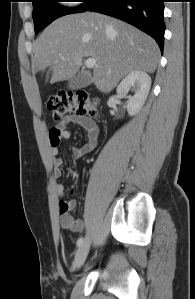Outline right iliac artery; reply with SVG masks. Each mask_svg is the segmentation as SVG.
Wrapping results in <instances>:
<instances>
[{
  "mask_svg": "<svg viewBox=\"0 0 195 299\" xmlns=\"http://www.w3.org/2000/svg\"><path fill=\"white\" fill-rule=\"evenodd\" d=\"M82 243H83V238L81 237L77 240V246H80Z\"/></svg>",
  "mask_w": 195,
  "mask_h": 299,
  "instance_id": "obj_1",
  "label": "right iliac artery"
}]
</instances>
